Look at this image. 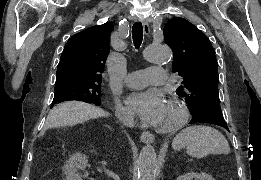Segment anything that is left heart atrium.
<instances>
[{
    "label": "left heart atrium",
    "instance_id": "left-heart-atrium-1",
    "mask_svg": "<svg viewBox=\"0 0 261 180\" xmlns=\"http://www.w3.org/2000/svg\"><path fill=\"white\" fill-rule=\"evenodd\" d=\"M165 102L164 95L157 89L133 91L126 97L125 108L129 113L142 120L154 123Z\"/></svg>",
    "mask_w": 261,
    "mask_h": 180
}]
</instances>
